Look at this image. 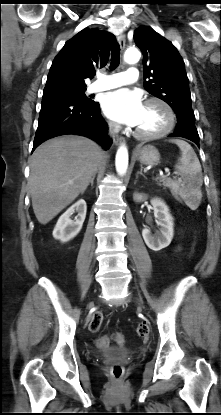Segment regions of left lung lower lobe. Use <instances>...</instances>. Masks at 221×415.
Returning a JSON list of instances; mask_svg holds the SVG:
<instances>
[{"label": "left lung lower lobe", "mask_w": 221, "mask_h": 415, "mask_svg": "<svg viewBox=\"0 0 221 415\" xmlns=\"http://www.w3.org/2000/svg\"><path fill=\"white\" fill-rule=\"evenodd\" d=\"M169 137H183L193 141L199 147V135L195 127V117L184 116L178 118L176 129Z\"/></svg>", "instance_id": "left-lung-lower-lobe-1"}]
</instances>
